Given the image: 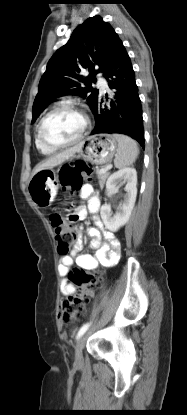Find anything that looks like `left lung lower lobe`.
<instances>
[{
	"instance_id": "left-lung-lower-lobe-1",
	"label": "left lung lower lobe",
	"mask_w": 187,
	"mask_h": 415,
	"mask_svg": "<svg viewBox=\"0 0 187 415\" xmlns=\"http://www.w3.org/2000/svg\"><path fill=\"white\" fill-rule=\"evenodd\" d=\"M103 76L113 90V95L109 107L102 104L101 97L94 106L92 112L96 125L91 134H125L137 140L144 148L142 106L135 73L119 37L113 42Z\"/></svg>"
}]
</instances>
